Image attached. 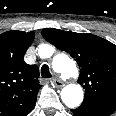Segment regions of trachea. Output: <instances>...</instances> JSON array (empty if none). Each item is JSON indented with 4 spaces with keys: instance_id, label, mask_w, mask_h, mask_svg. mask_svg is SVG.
Instances as JSON below:
<instances>
[{
    "instance_id": "trachea-1",
    "label": "trachea",
    "mask_w": 116,
    "mask_h": 116,
    "mask_svg": "<svg viewBox=\"0 0 116 116\" xmlns=\"http://www.w3.org/2000/svg\"><path fill=\"white\" fill-rule=\"evenodd\" d=\"M41 76H42L43 78H51V77H52L48 65L44 64V65L41 67Z\"/></svg>"
}]
</instances>
